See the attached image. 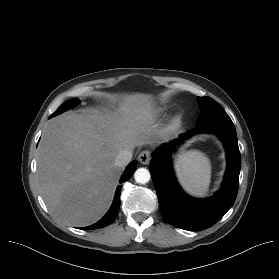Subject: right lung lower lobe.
Wrapping results in <instances>:
<instances>
[{
  "label": "right lung lower lobe",
  "instance_id": "right-lung-lower-lobe-1",
  "mask_svg": "<svg viewBox=\"0 0 279 279\" xmlns=\"http://www.w3.org/2000/svg\"><path fill=\"white\" fill-rule=\"evenodd\" d=\"M137 168V163L135 161H133L128 168L125 170L124 174L122 175L121 179H120V183L127 181L132 174L135 172ZM122 185H119L116 189V193H115V197H114V202L110 208V210L108 211V213L97 223L89 226V227H85L82 229H97V228H101V227H105L107 225H109L117 216L118 212H119V208H120V190H121Z\"/></svg>",
  "mask_w": 279,
  "mask_h": 279
}]
</instances>
